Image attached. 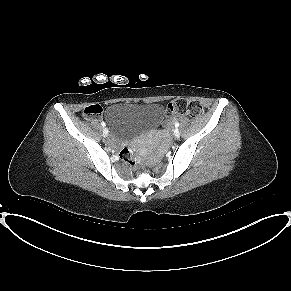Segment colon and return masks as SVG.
<instances>
[{"mask_svg":"<svg viewBox=\"0 0 291 291\" xmlns=\"http://www.w3.org/2000/svg\"><path fill=\"white\" fill-rule=\"evenodd\" d=\"M167 114L171 115H187L193 118L199 117L203 113L200 102L196 100L180 98L175 99L167 105ZM102 109L99 105H89L84 108L82 115L88 119H97L101 116ZM121 160L127 165L134 166V156L128 147H124L120 152Z\"/></svg>","mask_w":291,"mask_h":291,"instance_id":"colon-1","label":"colon"}]
</instances>
